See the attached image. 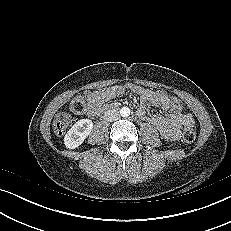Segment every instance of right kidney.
Listing matches in <instances>:
<instances>
[{
    "mask_svg": "<svg viewBox=\"0 0 231 231\" xmlns=\"http://www.w3.org/2000/svg\"><path fill=\"white\" fill-rule=\"evenodd\" d=\"M93 128V122L89 119L78 120L66 133L64 144L69 149L80 146L88 137Z\"/></svg>",
    "mask_w": 231,
    "mask_h": 231,
    "instance_id": "obj_1",
    "label": "right kidney"
}]
</instances>
